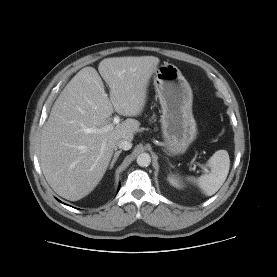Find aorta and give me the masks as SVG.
<instances>
[{
  "label": "aorta",
  "instance_id": "1",
  "mask_svg": "<svg viewBox=\"0 0 277 277\" xmlns=\"http://www.w3.org/2000/svg\"><path fill=\"white\" fill-rule=\"evenodd\" d=\"M136 161L140 167H147L150 165L151 157L148 153H141L138 155Z\"/></svg>",
  "mask_w": 277,
  "mask_h": 277
}]
</instances>
